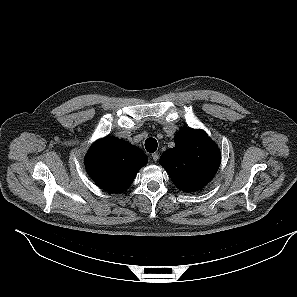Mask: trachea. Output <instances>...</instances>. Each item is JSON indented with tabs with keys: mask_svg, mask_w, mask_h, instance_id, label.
Wrapping results in <instances>:
<instances>
[{
	"mask_svg": "<svg viewBox=\"0 0 297 297\" xmlns=\"http://www.w3.org/2000/svg\"><path fill=\"white\" fill-rule=\"evenodd\" d=\"M158 143L154 138H148L145 141V148L148 152L153 153L157 150Z\"/></svg>",
	"mask_w": 297,
	"mask_h": 297,
	"instance_id": "1",
	"label": "trachea"
}]
</instances>
